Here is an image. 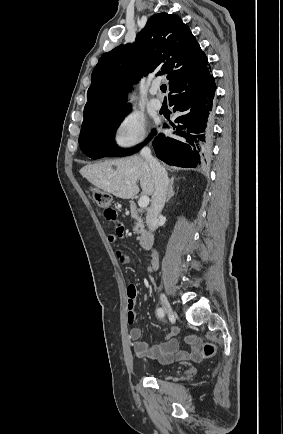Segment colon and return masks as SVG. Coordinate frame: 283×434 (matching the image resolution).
Returning a JSON list of instances; mask_svg holds the SVG:
<instances>
[{
	"instance_id": "5ec220e1",
	"label": "colon",
	"mask_w": 283,
	"mask_h": 434,
	"mask_svg": "<svg viewBox=\"0 0 283 434\" xmlns=\"http://www.w3.org/2000/svg\"><path fill=\"white\" fill-rule=\"evenodd\" d=\"M93 198H94L95 202L103 209H107L111 205V201H112L111 196L105 191L98 190V189L94 190L93 191ZM215 350H216V347H215L214 343L206 342L202 346L200 354L203 358H209V357L214 355Z\"/></svg>"
}]
</instances>
